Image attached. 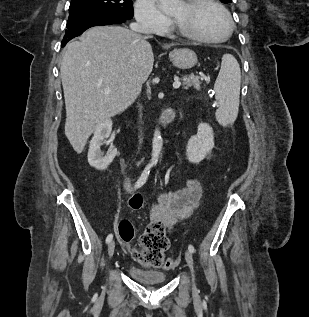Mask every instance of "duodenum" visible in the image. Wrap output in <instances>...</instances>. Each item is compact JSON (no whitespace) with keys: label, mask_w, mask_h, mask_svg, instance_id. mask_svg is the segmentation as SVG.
Here are the masks:
<instances>
[{"label":"duodenum","mask_w":309,"mask_h":317,"mask_svg":"<svg viewBox=\"0 0 309 317\" xmlns=\"http://www.w3.org/2000/svg\"><path fill=\"white\" fill-rule=\"evenodd\" d=\"M173 115L174 112L172 109L165 110L159 118L158 125L162 127L168 125L172 121Z\"/></svg>","instance_id":"410a0bca"}]
</instances>
